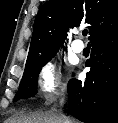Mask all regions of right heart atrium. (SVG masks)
I'll return each mask as SVG.
<instances>
[{
    "label": "right heart atrium",
    "mask_w": 118,
    "mask_h": 123,
    "mask_svg": "<svg viewBox=\"0 0 118 123\" xmlns=\"http://www.w3.org/2000/svg\"><path fill=\"white\" fill-rule=\"evenodd\" d=\"M36 84L44 99L52 101L65 89L61 66L54 60L47 61L37 73Z\"/></svg>",
    "instance_id": "d8ad5b80"
}]
</instances>
